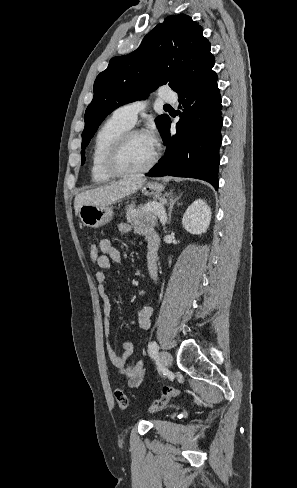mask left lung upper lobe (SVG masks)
Listing matches in <instances>:
<instances>
[{
    "mask_svg": "<svg viewBox=\"0 0 297 488\" xmlns=\"http://www.w3.org/2000/svg\"><path fill=\"white\" fill-rule=\"evenodd\" d=\"M200 25L186 14L171 15L149 32L129 55L114 57L94 82V97L85 113L84 148L98 126L113 110L143 99L163 84L182 95L214 72L215 59ZM169 117L160 115L156 124L163 135Z\"/></svg>",
    "mask_w": 297,
    "mask_h": 488,
    "instance_id": "left-lung-upper-lobe-1",
    "label": "left lung upper lobe"
}]
</instances>
